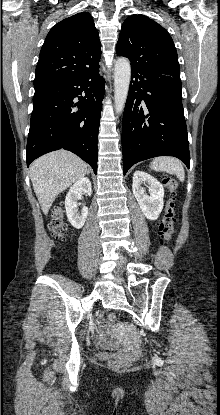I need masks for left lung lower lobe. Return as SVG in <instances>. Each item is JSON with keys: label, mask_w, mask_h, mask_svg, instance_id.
<instances>
[{"label": "left lung lower lobe", "mask_w": 220, "mask_h": 415, "mask_svg": "<svg viewBox=\"0 0 220 415\" xmlns=\"http://www.w3.org/2000/svg\"><path fill=\"white\" fill-rule=\"evenodd\" d=\"M122 122L124 175L135 163L174 156L190 166L187 126L179 77L131 68Z\"/></svg>", "instance_id": "0a47b994"}]
</instances>
